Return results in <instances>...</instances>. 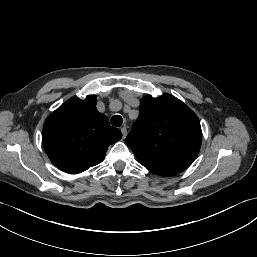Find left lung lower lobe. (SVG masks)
<instances>
[{
    "label": "left lung lower lobe",
    "instance_id": "obj_1",
    "mask_svg": "<svg viewBox=\"0 0 257 257\" xmlns=\"http://www.w3.org/2000/svg\"><path fill=\"white\" fill-rule=\"evenodd\" d=\"M158 175H161V176H172V175H175V174L163 173V174H158Z\"/></svg>",
    "mask_w": 257,
    "mask_h": 257
}]
</instances>
